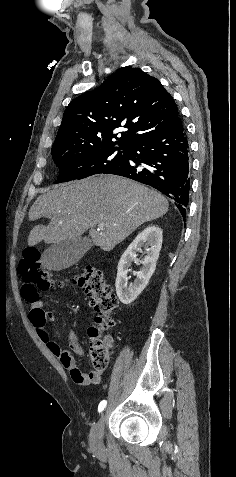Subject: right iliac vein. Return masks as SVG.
Segmentation results:
<instances>
[{"label": "right iliac vein", "instance_id": "obj_1", "mask_svg": "<svg viewBox=\"0 0 236 477\" xmlns=\"http://www.w3.org/2000/svg\"><path fill=\"white\" fill-rule=\"evenodd\" d=\"M105 412L102 413V416L98 420V422L94 425V427L91 429L90 432V447L93 452L95 453H100L104 449V444H103V426L106 421V409L104 410Z\"/></svg>", "mask_w": 236, "mask_h": 477}]
</instances>
